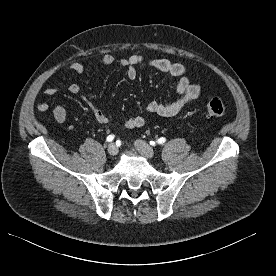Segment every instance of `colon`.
Returning <instances> with one entry per match:
<instances>
[{
	"instance_id": "5ec220e1",
	"label": "colon",
	"mask_w": 276,
	"mask_h": 276,
	"mask_svg": "<svg viewBox=\"0 0 276 276\" xmlns=\"http://www.w3.org/2000/svg\"><path fill=\"white\" fill-rule=\"evenodd\" d=\"M207 113L214 118H222L226 113V107L223 100L219 97H213L206 104Z\"/></svg>"
}]
</instances>
